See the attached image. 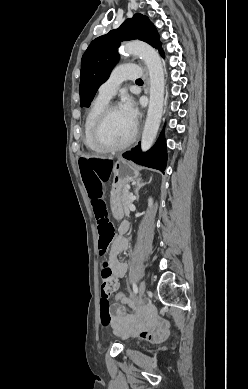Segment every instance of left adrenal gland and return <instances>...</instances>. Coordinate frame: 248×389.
<instances>
[{
	"label": "left adrenal gland",
	"instance_id": "obj_1",
	"mask_svg": "<svg viewBox=\"0 0 248 389\" xmlns=\"http://www.w3.org/2000/svg\"><path fill=\"white\" fill-rule=\"evenodd\" d=\"M146 183L142 182V180H137L136 182V188H135V196H136V199L139 198V190L141 189V187H143Z\"/></svg>",
	"mask_w": 248,
	"mask_h": 389
}]
</instances>
